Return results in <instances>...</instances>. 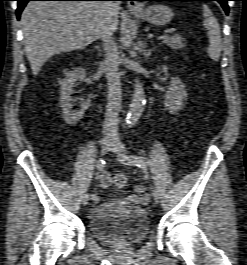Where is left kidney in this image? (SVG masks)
<instances>
[{
	"instance_id": "obj_1",
	"label": "left kidney",
	"mask_w": 247,
	"mask_h": 265,
	"mask_svg": "<svg viewBox=\"0 0 247 265\" xmlns=\"http://www.w3.org/2000/svg\"><path fill=\"white\" fill-rule=\"evenodd\" d=\"M187 100V92L184 83L174 77L170 81L168 90L165 93L164 105L170 114H177L183 109Z\"/></svg>"
}]
</instances>
